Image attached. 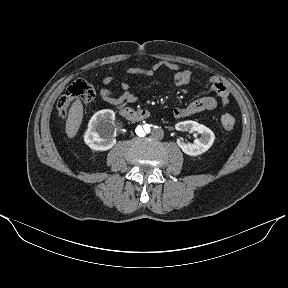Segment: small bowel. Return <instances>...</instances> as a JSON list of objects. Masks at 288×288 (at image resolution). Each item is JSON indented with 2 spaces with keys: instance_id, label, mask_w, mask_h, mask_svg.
<instances>
[{
  "instance_id": "small-bowel-1",
  "label": "small bowel",
  "mask_w": 288,
  "mask_h": 288,
  "mask_svg": "<svg viewBox=\"0 0 288 288\" xmlns=\"http://www.w3.org/2000/svg\"><path fill=\"white\" fill-rule=\"evenodd\" d=\"M161 69H166L171 73L170 82L171 85L175 87L187 86L192 82L194 78V75L190 70L183 69L178 64L166 60L159 61L147 69L130 68L127 70V72L133 75L151 77ZM102 82L105 85H109L113 83V78L104 77ZM208 84L209 91L216 94L219 98V101L213 96H204L189 103L185 107L174 109L173 116L175 118L192 117L204 111L214 110L219 104L223 107L227 106L229 103V91L225 85L216 77H210L208 79ZM99 95L104 102L109 103L115 107H122L137 100V96L132 91L129 84L124 81L120 83L119 92L112 91L107 88H102L99 91Z\"/></svg>"
}]
</instances>
